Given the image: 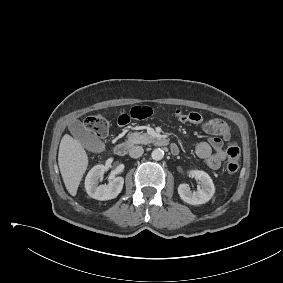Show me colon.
Instances as JSON below:
<instances>
[{
  "mask_svg": "<svg viewBox=\"0 0 283 283\" xmlns=\"http://www.w3.org/2000/svg\"><path fill=\"white\" fill-rule=\"evenodd\" d=\"M86 128L99 138H104L109 132V122L103 115H91L85 120ZM240 147L234 141L229 142L226 148L228 174H234L239 168Z\"/></svg>",
  "mask_w": 283,
  "mask_h": 283,
  "instance_id": "obj_1",
  "label": "colon"
}]
</instances>
